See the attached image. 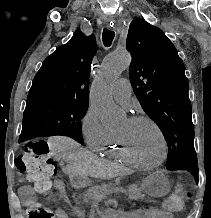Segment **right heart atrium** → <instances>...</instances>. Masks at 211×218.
Returning <instances> with one entry per match:
<instances>
[{
	"mask_svg": "<svg viewBox=\"0 0 211 218\" xmlns=\"http://www.w3.org/2000/svg\"><path fill=\"white\" fill-rule=\"evenodd\" d=\"M80 127L87 144L94 150L104 143L110 135L99 115L91 107L84 113Z\"/></svg>",
	"mask_w": 211,
	"mask_h": 218,
	"instance_id": "right-heart-atrium-1",
	"label": "right heart atrium"
}]
</instances>
